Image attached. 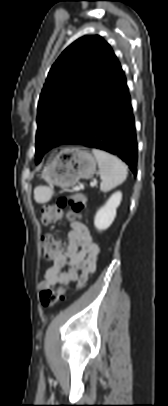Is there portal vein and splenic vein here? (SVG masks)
<instances>
[{
    "label": "portal vein and splenic vein",
    "mask_w": 168,
    "mask_h": 406,
    "mask_svg": "<svg viewBox=\"0 0 168 406\" xmlns=\"http://www.w3.org/2000/svg\"><path fill=\"white\" fill-rule=\"evenodd\" d=\"M96 184H97V182H91L90 186L94 187V186H96Z\"/></svg>",
    "instance_id": "obj_1"
}]
</instances>
